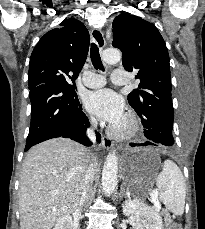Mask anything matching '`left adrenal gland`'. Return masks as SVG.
Wrapping results in <instances>:
<instances>
[{"label":"left adrenal gland","instance_id":"left-adrenal-gland-1","mask_svg":"<svg viewBox=\"0 0 205 229\" xmlns=\"http://www.w3.org/2000/svg\"><path fill=\"white\" fill-rule=\"evenodd\" d=\"M124 195H127V193H125L124 187H121V190H120V193H119V197L121 198Z\"/></svg>","mask_w":205,"mask_h":229}]
</instances>
